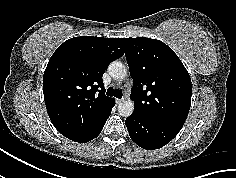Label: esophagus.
I'll list each match as a JSON object with an SVG mask.
<instances>
[{"label":"esophagus","mask_w":236,"mask_h":178,"mask_svg":"<svg viewBox=\"0 0 236 178\" xmlns=\"http://www.w3.org/2000/svg\"><path fill=\"white\" fill-rule=\"evenodd\" d=\"M122 101H124V99H116L117 104L121 103Z\"/></svg>","instance_id":"34e87169"}]
</instances>
